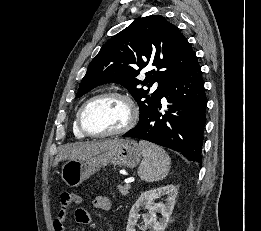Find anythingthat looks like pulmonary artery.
<instances>
[{"label":"pulmonary artery","mask_w":261,"mask_h":231,"mask_svg":"<svg viewBox=\"0 0 261 231\" xmlns=\"http://www.w3.org/2000/svg\"><path fill=\"white\" fill-rule=\"evenodd\" d=\"M155 87H156V84L153 85V88H155Z\"/></svg>","instance_id":"e3ab8cb5"}]
</instances>
